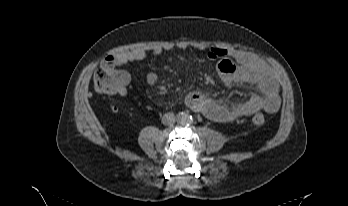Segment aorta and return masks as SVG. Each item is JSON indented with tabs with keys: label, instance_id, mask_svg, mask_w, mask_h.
<instances>
[{
	"label": "aorta",
	"instance_id": "762f6f07",
	"mask_svg": "<svg viewBox=\"0 0 348 206\" xmlns=\"http://www.w3.org/2000/svg\"><path fill=\"white\" fill-rule=\"evenodd\" d=\"M190 120L189 116L187 114H182L181 115V122L182 123H187Z\"/></svg>",
	"mask_w": 348,
	"mask_h": 206
}]
</instances>
